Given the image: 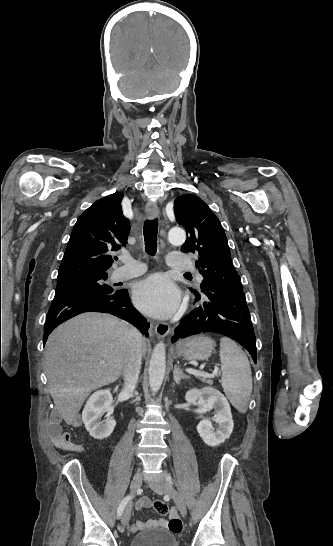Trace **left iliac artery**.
Segmentation results:
<instances>
[{
	"label": "left iliac artery",
	"instance_id": "left-iliac-artery-1",
	"mask_svg": "<svg viewBox=\"0 0 333 546\" xmlns=\"http://www.w3.org/2000/svg\"><path fill=\"white\" fill-rule=\"evenodd\" d=\"M166 478H167V480H168L169 482H172V481H171V476H170L169 474L166 475Z\"/></svg>",
	"mask_w": 333,
	"mask_h": 546
}]
</instances>
